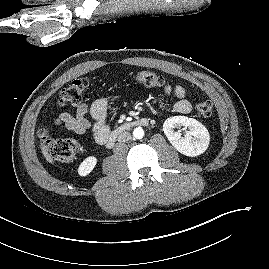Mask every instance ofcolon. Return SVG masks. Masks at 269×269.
<instances>
[{"instance_id": "1", "label": "colon", "mask_w": 269, "mask_h": 269, "mask_svg": "<svg viewBox=\"0 0 269 269\" xmlns=\"http://www.w3.org/2000/svg\"><path fill=\"white\" fill-rule=\"evenodd\" d=\"M132 76L135 80L148 87L159 88L169 86L168 81L155 72L143 70L134 73ZM90 85L91 80L86 77L73 80L61 90L59 104L62 106L79 104ZM196 110L201 117L208 118L212 115L213 104L208 100L203 101L197 105ZM38 135L42 144L55 159L67 162L75 157L78 150L76 140L54 137L47 127H41Z\"/></svg>"}]
</instances>
